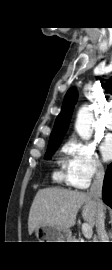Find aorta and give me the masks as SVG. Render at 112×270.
I'll return each instance as SVG.
<instances>
[{"label":"aorta","instance_id":"1","mask_svg":"<svg viewBox=\"0 0 112 270\" xmlns=\"http://www.w3.org/2000/svg\"><path fill=\"white\" fill-rule=\"evenodd\" d=\"M93 119V113L88 107L83 106L79 109L75 123V130L84 140H88L92 135L91 123Z\"/></svg>","mask_w":112,"mask_h":270}]
</instances>
